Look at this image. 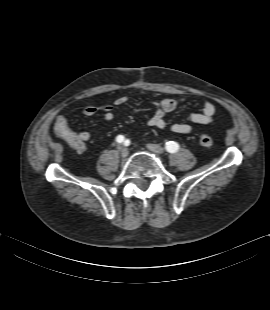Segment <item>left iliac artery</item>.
<instances>
[{"label":"left iliac artery","mask_w":270,"mask_h":310,"mask_svg":"<svg viewBox=\"0 0 270 310\" xmlns=\"http://www.w3.org/2000/svg\"><path fill=\"white\" fill-rule=\"evenodd\" d=\"M165 148L168 152L174 153L177 152L179 149V144L174 141H169L165 144Z\"/></svg>","instance_id":"left-iliac-artery-1"}]
</instances>
